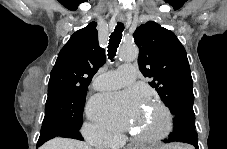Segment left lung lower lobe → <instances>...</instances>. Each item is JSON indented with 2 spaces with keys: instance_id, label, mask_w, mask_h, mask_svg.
Segmentation results:
<instances>
[{
  "instance_id": "0a47b994",
  "label": "left lung lower lobe",
  "mask_w": 227,
  "mask_h": 149,
  "mask_svg": "<svg viewBox=\"0 0 227 149\" xmlns=\"http://www.w3.org/2000/svg\"><path fill=\"white\" fill-rule=\"evenodd\" d=\"M165 143L171 142H183L193 145L198 149V138L195 129L174 130L167 139H164Z\"/></svg>"
}]
</instances>
